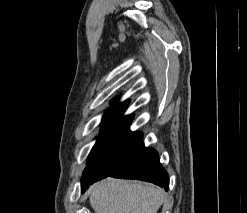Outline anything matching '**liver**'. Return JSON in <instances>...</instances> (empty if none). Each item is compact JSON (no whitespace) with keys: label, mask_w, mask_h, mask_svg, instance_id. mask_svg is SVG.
<instances>
[{"label":"liver","mask_w":247,"mask_h":213,"mask_svg":"<svg viewBox=\"0 0 247 213\" xmlns=\"http://www.w3.org/2000/svg\"><path fill=\"white\" fill-rule=\"evenodd\" d=\"M165 191L150 184L107 178L91 187L95 213H157Z\"/></svg>","instance_id":"6515ba94"}]
</instances>
